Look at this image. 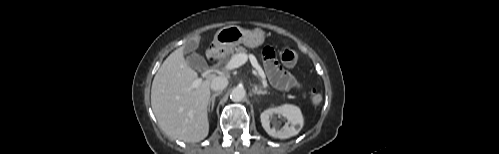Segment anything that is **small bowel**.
Listing matches in <instances>:
<instances>
[{
  "label": "small bowel",
  "instance_id": "c3829d8e",
  "mask_svg": "<svg viewBox=\"0 0 499 154\" xmlns=\"http://www.w3.org/2000/svg\"><path fill=\"white\" fill-rule=\"evenodd\" d=\"M263 56L265 70L273 86L281 90L297 89L300 87L298 80L278 64L272 48L266 47L263 51Z\"/></svg>",
  "mask_w": 499,
  "mask_h": 154
}]
</instances>
